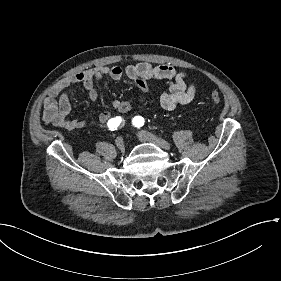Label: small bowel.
I'll use <instances>...</instances> for the list:
<instances>
[{"label": "small bowel", "mask_w": 281, "mask_h": 281, "mask_svg": "<svg viewBox=\"0 0 281 281\" xmlns=\"http://www.w3.org/2000/svg\"><path fill=\"white\" fill-rule=\"evenodd\" d=\"M103 77H109L113 80L127 77L135 81L137 87L143 92L148 91L147 81L150 79L168 80L169 91L162 94L160 98L161 106L168 111L190 103L196 91L195 85L186 81L184 72H179L169 65L154 66L147 62H141L125 67L118 65L97 66L70 75L57 84L50 97L43 103V121L69 131L78 130L97 122L100 124L108 123L112 118L108 111L101 112L97 118L71 119L68 117L71 111V86L80 84L87 92V99L93 102L98 99V91L94 84ZM112 105L120 114H125L130 110L128 101L115 100Z\"/></svg>", "instance_id": "small-bowel-1"}]
</instances>
